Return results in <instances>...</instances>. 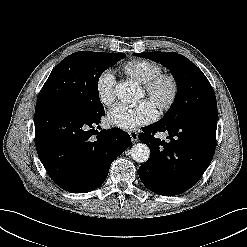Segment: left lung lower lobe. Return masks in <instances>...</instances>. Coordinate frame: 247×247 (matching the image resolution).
<instances>
[{
    "instance_id": "1",
    "label": "left lung lower lobe",
    "mask_w": 247,
    "mask_h": 247,
    "mask_svg": "<svg viewBox=\"0 0 247 247\" xmlns=\"http://www.w3.org/2000/svg\"><path fill=\"white\" fill-rule=\"evenodd\" d=\"M217 118L196 117L174 123L156 122L143 128L140 141L150 148L149 160L139 167V177L152 192L174 196L193 187L215 152ZM167 132L170 142L154 137Z\"/></svg>"
}]
</instances>
